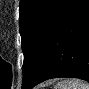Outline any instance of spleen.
I'll use <instances>...</instances> for the list:
<instances>
[{
	"mask_svg": "<svg viewBox=\"0 0 89 89\" xmlns=\"http://www.w3.org/2000/svg\"><path fill=\"white\" fill-rule=\"evenodd\" d=\"M56 89H89V85L79 79H66L59 82Z\"/></svg>",
	"mask_w": 89,
	"mask_h": 89,
	"instance_id": "obj_1",
	"label": "spleen"
}]
</instances>
